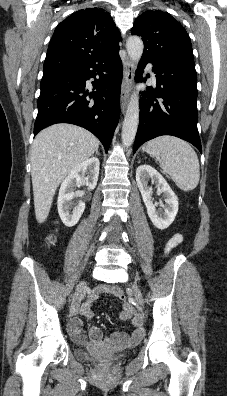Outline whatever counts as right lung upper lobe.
<instances>
[{"instance_id": "right-lung-upper-lobe-1", "label": "right lung upper lobe", "mask_w": 227, "mask_h": 396, "mask_svg": "<svg viewBox=\"0 0 227 396\" xmlns=\"http://www.w3.org/2000/svg\"><path fill=\"white\" fill-rule=\"evenodd\" d=\"M121 36L111 16L102 8L72 13L55 29L44 71L92 61L119 50Z\"/></svg>"}]
</instances>
